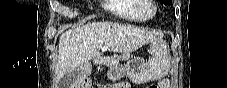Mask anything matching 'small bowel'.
Returning <instances> with one entry per match:
<instances>
[{
  "label": "small bowel",
  "instance_id": "obj_1",
  "mask_svg": "<svg viewBox=\"0 0 227 88\" xmlns=\"http://www.w3.org/2000/svg\"><path fill=\"white\" fill-rule=\"evenodd\" d=\"M161 84L165 87V86L169 85V80H163L161 82ZM102 87L104 88V87H107V86H102ZM113 87H116V88H128V84L126 82H120V83L115 84Z\"/></svg>",
  "mask_w": 227,
  "mask_h": 88
}]
</instances>
